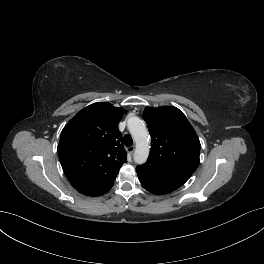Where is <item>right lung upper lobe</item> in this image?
<instances>
[{"label": "right lung upper lobe", "mask_w": 264, "mask_h": 264, "mask_svg": "<svg viewBox=\"0 0 264 264\" xmlns=\"http://www.w3.org/2000/svg\"><path fill=\"white\" fill-rule=\"evenodd\" d=\"M124 113L109 103H94L79 111L62 130L57 148L60 163L80 193L105 194L127 162L117 128Z\"/></svg>", "instance_id": "cb5924a9"}]
</instances>
